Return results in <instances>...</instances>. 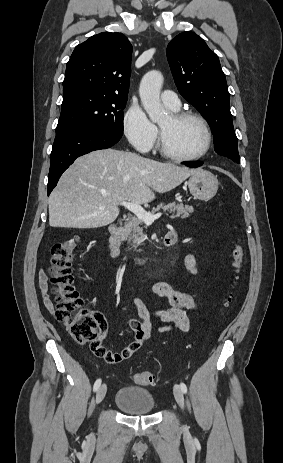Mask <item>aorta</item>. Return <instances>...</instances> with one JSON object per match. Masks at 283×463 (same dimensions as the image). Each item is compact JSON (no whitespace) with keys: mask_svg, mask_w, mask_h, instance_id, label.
<instances>
[{"mask_svg":"<svg viewBox=\"0 0 283 463\" xmlns=\"http://www.w3.org/2000/svg\"><path fill=\"white\" fill-rule=\"evenodd\" d=\"M163 76L159 71L147 72L140 83L139 94L142 105L153 122H159L166 116V111L160 102V90Z\"/></svg>","mask_w":283,"mask_h":463,"instance_id":"aorta-1","label":"aorta"}]
</instances>
